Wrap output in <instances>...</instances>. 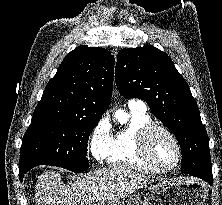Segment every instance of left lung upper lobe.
Segmentation results:
<instances>
[{
    "label": "left lung upper lobe",
    "instance_id": "5c2ea615",
    "mask_svg": "<svg viewBox=\"0 0 222 205\" xmlns=\"http://www.w3.org/2000/svg\"><path fill=\"white\" fill-rule=\"evenodd\" d=\"M116 83L126 98L146 101L152 113L176 136L182 154L193 151L207 162L201 178H212L209 139L189 86L171 58L153 46L122 49Z\"/></svg>",
    "mask_w": 222,
    "mask_h": 205
}]
</instances>
